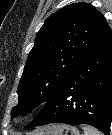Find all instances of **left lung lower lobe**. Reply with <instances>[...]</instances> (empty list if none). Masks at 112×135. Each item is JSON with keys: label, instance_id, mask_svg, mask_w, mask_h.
I'll list each match as a JSON object with an SVG mask.
<instances>
[{"label": "left lung lower lobe", "instance_id": "obj_1", "mask_svg": "<svg viewBox=\"0 0 112 135\" xmlns=\"http://www.w3.org/2000/svg\"><path fill=\"white\" fill-rule=\"evenodd\" d=\"M111 121L112 32L109 28L27 127L88 124L110 135Z\"/></svg>", "mask_w": 112, "mask_h": 135}]
</instances>
